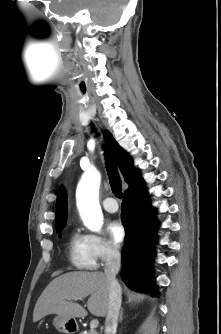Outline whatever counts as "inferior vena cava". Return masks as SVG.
<instances>
[{"label": "inferior vena cava", "mask_w": 221, "mask_h": 334, "mask_svg": "<svg viewBox=\"0 0 221 334\" xmlns=\"http://www.w3.org/2000/svg\"><path fill=\"white\" fill-rule=\"evenodd\" d=\"M121 256L119 249L114 246L107 248V259L104 267V273L109 281V306L105 320V333L115 334L119 311L121 307V286L116 279L120 269Z\"/></svg>", "instance_id": "obj_1"}]
</instances>
